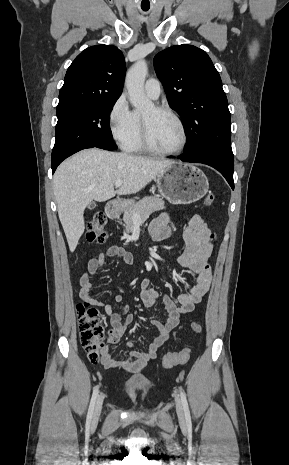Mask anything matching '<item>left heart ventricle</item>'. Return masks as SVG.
<instances>
[{
	"instance_id": "left-heart-ventricle-1",
	"label": "left heart ventricle",
	"mask_w": 289,
	"mask_h": 465,
	"mask_svg": "<svg viewBox=\"0 0 289 465\" xmlns=\"http://www.w3.org/2000/svg\"><path fill=\"white\" fill-rule=\"evenodd\" d=\"M149 138L154 147L160 150H174L182 141V133L177 122L167 113L159 112L153 106L142 113Z\"/></svg>"
}]
</instances>
